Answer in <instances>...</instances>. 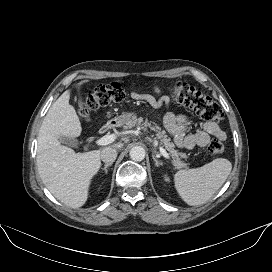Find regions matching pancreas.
<instances>
[{
	"mask_svg": "<svg viewBox=\"0 0 272 272\" xmlns=\"http://www.w3.org/2000/svg\"><path fill=\"white\" fill-rule=\"evenodd\" d=\"M125 124L127 128H132L140 124H142L144 127H149L155 132V139L159 140V143L171 154L174 168L181 169L187 166V164L180 160L181 158H187V155L185 153L178 152V150L175 149L174 143L171 142L170 138H168L166 135V132L162 130L160 126L155 123H153L154 125L151 126L148 119L144 120L143 118H137L136 116L130 118Z\"/></svg>",
	"mask_w": 272,
	"mask_h": 272,
	"instance_id": "pancreas-1",
	"label": "pancreas"
}]
</instances>
